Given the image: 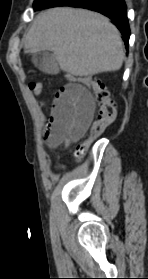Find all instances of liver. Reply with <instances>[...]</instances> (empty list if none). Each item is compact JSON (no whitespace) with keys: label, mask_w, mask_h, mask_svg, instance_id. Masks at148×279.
<instances>
[{"label":"liver","mask_w":148,"mask_h":279,"mask_svg":"<svg viewBox=\"0 0 148 279\" xmlns=\"http://www.w3.org/2000/svg\"><path fill=\"white\" fill-rule=\"evenodd\" d=\"M53 51L60 68L74 76L117 71L124 51L117 28L98 13L69 7L42 12L25 36L24 52Z\"/></svg>","instance_id":"1"}]
</instances>
